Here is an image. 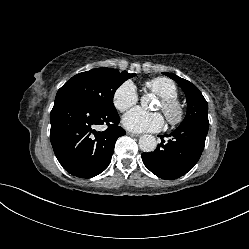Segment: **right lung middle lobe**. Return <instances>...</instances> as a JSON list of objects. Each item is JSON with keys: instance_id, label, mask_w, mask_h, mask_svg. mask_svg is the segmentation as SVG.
Segmentation results:
<instances>
[{"instance_id": "right-lung-middle-lobe-1", "label": "right lung middle lobe", "mask_w": 249, "mask_h": 249, "mask_svg": "<svg viewBox=\"0 0 249 249\" xmlns=\"http://www.w3.org/2000/svg\"><path fill=\"white\" fill-rule=\"evenodd\" d=\"M135 75L127 71L120 73L112 68L92 69L72 77L59 89L57 95H72L93 108L114 111L115 91L123 82Z\"/></svg>"}]
</instances>
